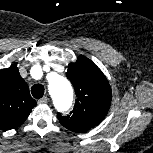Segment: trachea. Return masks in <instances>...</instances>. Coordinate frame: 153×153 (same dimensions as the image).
Instances as JSON below:
<instances>
[{"label": "trachea", "instance_id": "1", "mask_svg": "<svg viewBox=\"0 0 153 153\" xmlns=\"http://www.w3.org/2000/svg\"><path fill=\"white\" fill-rule=\"evenodd\" d=\"M44 86L41 84H35L31 88L32 96L36 99H40L44 95Z\"/></svg>", "mask_w": 153, "mask_h": 153}]
</instances>
